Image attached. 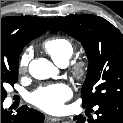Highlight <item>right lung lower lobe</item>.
<instances>
[{
  "label": "right lung lower lobe",
  "instance_id": "right-lung-lower-lobe-1",
  "mask_svg": "<svg viewBox=\"0 0 123 123\" xmlns=\"http://www.w3.org/2000/svg\"><path fill=\"white\" fill-rule=\"evenodd\" d=\"M1 101V123H42L44 115L26 105L17 110V114L8 111L2 106Z\"/></svg>",
  "mask_w": 123,
  "mask_h": 123
}]
</instances>
